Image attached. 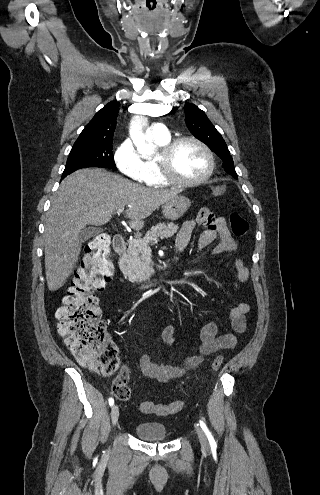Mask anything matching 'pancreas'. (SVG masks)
Masks as SVG:
<instances>
[{
    "mask_svg": "<svg viewBox=\"0 0 320 495\" xmlns=\"http://www.w3.org/2000/svg\"><path fill=\"white\" fill-rule=\"evenodd\" d=\"M179 226L169 223H159L153 226L142 239L129 240V246L120 260V270L129 281L133 283H140L144 280L145 272L149 267V261L146 257L145 249H150L149 243L156 241L158 238H168L173 236Z\"/></svg>",
    "mask_w": 320,
    "mask_h": 495,
    "instance_id": "1",
    "label": "pancreas"
}]
</instances>
